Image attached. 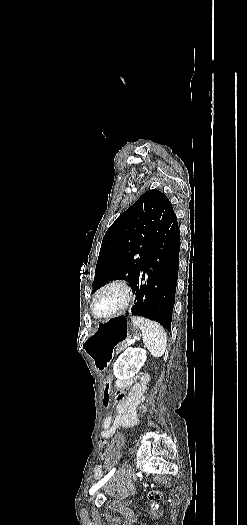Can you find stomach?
<instances>
[{
    "label": "stomach",
    "mask_w": 247,
    "mask_h": 525,
    "mask_svg": "<svg viewBox=\"0 0 247 525\" xmlns=\"http://www.w3.org/2000/svg\"><path fill=\"white\" fill-rule=\"evenodd\" d=\"M139 328L129 317H115L96 327L83 345L98 371H104L110 363L115 347L126 339L138 335Z\"/></svg>",
    "instance_id": "0dacf381"
}]
</instances>
